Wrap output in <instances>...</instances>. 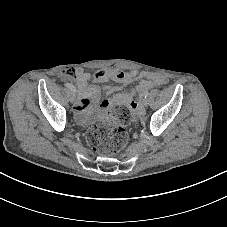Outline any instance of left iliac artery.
<instances>
[{
	"mask_svg": "<svg viewBox=\"0 0 227 227\" xmlns=\"http://www.w3.org/2000/svg\"><path fill=\"white\" fill-rule=\"evenodd\" d=\"M148 96H149V92L146 91V92L144 93V97H145V98H148Z\"/></svg>",
	"mask_w": 227,
	"mask_h": 227,
	"instance_id": "1",
	"label": "left iliac artery"
}]
</instances>
